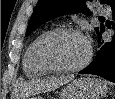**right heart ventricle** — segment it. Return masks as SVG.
<instances>
[{
	"label": "right heart ventricle",
	"instance_id": "right-heart-ventricle-1",
	"mask_svg": "<svg viewBox=\"0 0 115 99\" xmlns=\"http://www.w3.org/2000/svg\"><path fill=\"white\" fill-rule=\"evenodd\" d=\"M51 29L39 33L28 45L23 57V70L28 77L36 78L46 75L49 71L45 69L37 58V47L40 40L48 34Z\"/></svg>",
	"mask_w": 115,
	"mask_h": 99
}]
</instances>
